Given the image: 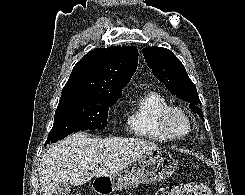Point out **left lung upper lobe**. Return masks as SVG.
Masks as SVG:
<instances>
[{
  "label": "left lung upper lobe",
  "mask_w": 245,
  "mask_h": 195,
  "mask_svg": "<svg viewBox=\"0 0 245 195\" xmlns=\"http://www.w3.org/2000/svg\"><path fill=\"white\" fill-rule=\"evenodd\" d=\"M143 55L156 78L203 119L196 87L181 61L170 50L161 47H146L143 49Z\"/></svg>",
  "instance_id": "1"
}]
</instances>
